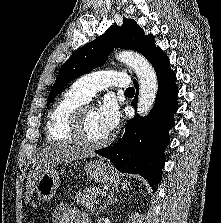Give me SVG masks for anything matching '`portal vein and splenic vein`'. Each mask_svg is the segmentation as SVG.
<instances>
[{
  "instance_id": "18ae733b",
  "label": "portal vein and splenic vein",
  "mask_w": 221,
  "mask_h": 223,
  "mask_svg": "<svg viewBox=\"0 0 221 223\" xmlns=\"http://www.w3.org/2000/svg\"><path fill=\"white\" fill-rule=\"evenodd\" d=\"M104 194H106V192H104V191H103V192H101V195H102V196H103Z\"/></svg>"
}]
</instances>
